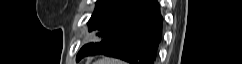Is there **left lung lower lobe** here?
<instances>
[{
    "label": "left lung lower lobe",
    "mask_w": 242,
    "mask_h": 64,
    "mask_svg": "<svg viewBox=\"0 0 242 64\" xmlns=\"http://www.w3.org/2000/svg\"><path fill=\"white\" fill-rule=\"evenodd\" d=\"M162 26L157 0H120L95 26L103 40L83 46L77 61L88 55H105L130 64H153Z\"/></svg>",
    "instance_id": "1"
}]
</instances>
